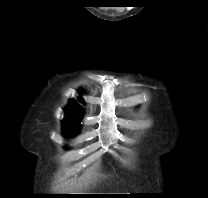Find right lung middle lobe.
<instances>
[{"label": "right lung middle lobe", "instance_id": "1", "mask_svg": "<svg viewBox=\"0 0 208 198\" xmlns=\"http://www.w3.org/2000/svg\"><path fill=\"white\" fill-rule=\"evenodd\" d=\"M63 130L67 137H72L79 132V123L75 121H63Z\"/></svg>", "mask_w": 208, "mask_h": 198}]
</instances>
